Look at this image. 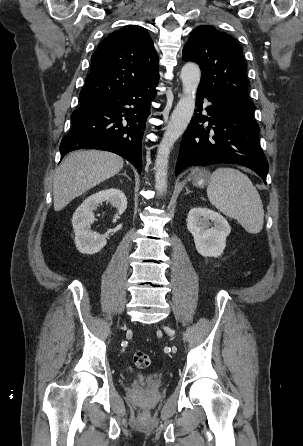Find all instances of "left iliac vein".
<instances>
[{"label": "left iliac vein", "mask_w": 303, "mask_h": 446, "mask_svg": "<svg viewBox=\"0 0 303 446\" xmlns=\"http://www.w3.org/2000/svg\"><path fill=\"white\" fill-rule=\"evenodd\" d=\"M165 331L169 334V335H173L171 328H169L168 326L164 327Z\"/></svg>", "instance_id": "obj_1"}]
</instances>
